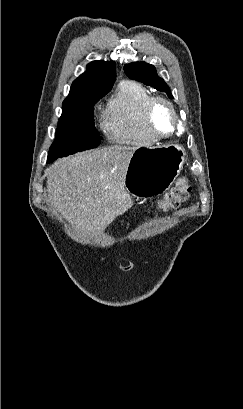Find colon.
I'll return each instance as SVG.
<instances>
[{
  "instance_id": "colon-1",
  "label": "colon",
  "mask_w": 243,
  "mask_h": 409,
  "mask_svg": "<svg viewBox=\"0 0 243 409\" xmlns=\"http://www.w3.org/2000/svg\"><path fill=\"white\" fill-rule=\"evenodd\" d=\"M191 191V185L186 177L177 179L174 186L164 195L158 203V209L169 211L185 202Z\"/></svg>"
}]
</instances>
